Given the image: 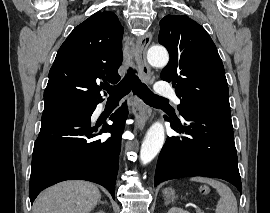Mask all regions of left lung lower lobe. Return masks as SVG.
I'll return each mask as SVG.
<instances>
[{"label":"left lung lower lobe","mask_w":270,"mask_h":213,"mask_svg":"<svg viewBox=\"0 0 270 213\" xmlns=\"http://www.w3.org/2000/svg\"><path fill=\"white\" fill-rule=\"evenodd\" d=\"M183 118L184 125L165 117L172 129L187 136L167 138L158 158L154 186L170 179L204 176L226 180L241 191L231 115L201 111Z\"/></svg>","instance_id":"1"}]
</instances>
